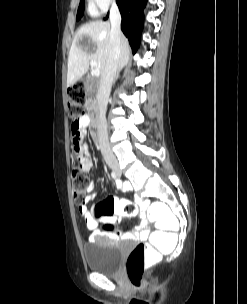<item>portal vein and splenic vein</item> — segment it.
Listing matches in <instances>:
<instances>
[{"instance_id":"1","label":"portal vein and splenic vein","mask_w":247,"mask_h":304,"mask_svg":"<svg viewBox=\"0 0 247 304\" xmlns=\"http://www.w3.org/2000/svg\"><path fill=\"white\" fill-rule=\"evenodd\" d=\"M90 65H91V68H92L91 74L93 76H99L100 75V70L97 67V62L94 61V60H91Z\"/></svg>"}]
</instances>
